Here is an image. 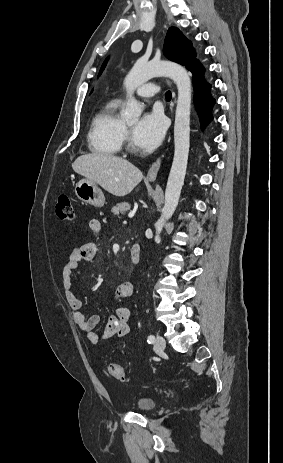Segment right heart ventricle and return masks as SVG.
I'll return each mask as SVG.
<instances>
[{
  "instance_id": "e07e8e85",
  "label": "right heart ventricle",
  "mask_w": 283,
  "mask_h": 463,
  "mask_svg": "<svg viewBox=\"0 0 283 463\" xmlns=\"http://www.w3.org/2000/svg\"><path fill=\"white\" fill-rule=\"evenodd\" d=\"M120 101L110 100L94 115L88 133L89 149L98 155L119 153L124 137V122L118 114Z\"/></svg>"
}]
</instances>
